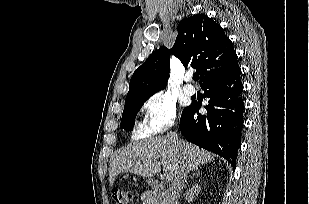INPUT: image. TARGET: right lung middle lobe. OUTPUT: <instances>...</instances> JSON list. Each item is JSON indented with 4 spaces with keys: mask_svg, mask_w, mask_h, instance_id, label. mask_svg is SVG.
<instances>
[{
    "mask_svg": "<svg viewBox=\"0 0 309 204\" xmlns=\"http://www.w3.org/2000/svg\"><path fill=\"white\" fill-rule=\"evenodd\" d=\"M147 99L148 98H138L125 101L120 128L132 130L135 123V117Z\"/></svg>",
    "mask_w": 309,
    "mask_h": 204,
    "instance_id": "1",
    "label": "right lung middle lobe"
}]
</instances>
